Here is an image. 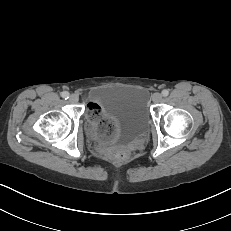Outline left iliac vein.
<instances>
[{"label": "left iliac vein", "mask_w": 231, "mask_h": 231, "mask_svg": "<svg viewBox=\"0 0 231 231\" xmlns=\"http://www.w3.org/2000/svg\"><path fill=\"white\" fill-rule=\"evenodd\" d=\"M161 100H162V95H161L160 93H154V94L152 95V101H153L154 103H160Z\"/></svg>", "instance_id": "4c4485c4"}]
</instances>
